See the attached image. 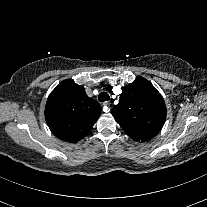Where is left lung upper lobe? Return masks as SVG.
Segmentation results:
<instances>
[{
	"label": "left lung upper lobe",
	"mask_w": 207,
	"mask_h": 207,
	"mask_svg": "<svg viewBox=\"0 0 207 207\" xmlns=\"http://www.w3.org/2000/svg\"><path fill=\"white\" fill-rule=\"evenodd\" d=\"M166 106L156 88L143 77L123 88L112 115L126 134L135 141L156 136L166 119Z\"/></svg>",
	"instance_id": "obj_1"
}]
</instances>
